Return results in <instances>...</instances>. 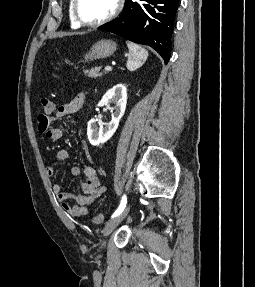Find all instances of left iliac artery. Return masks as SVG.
Here are the masks:
<instances>
[{"label":"left iliac artery","instance_id":"1","mask_svg":"<svg viewBox=\"0 0 255 287\" xmlns=\"http://www.w3.org/2000/svg\"><path fill=\"white\" fill-rule=\"evenodd\" d=\"M126 202H127V198L125 195H123L121 203H120L118 209L112 215V218L116 217L117 215H119L124 210V208L126 206Z\"/></svg>","mask_w":255,"mask_h":287}]
</instances>
